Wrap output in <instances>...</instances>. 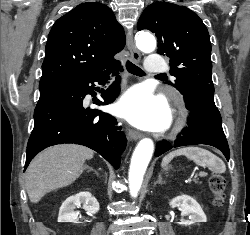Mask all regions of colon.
I'll list each match as a JSON object with an SVG mask.
<instances>
[{
  "instance_id": "1",
  "label": "colon",
  "mask_w": 250,
  "mask_h": 235,
  "mask_svg": "<svg viewBox=\"0 0 250 235\" xmlns=\"http://www.w3.org/2000/svg\"><path fill=\"white\" fill-rule=\"evenodd\" d=\"M225 180L221 175L214 174L209 180L210 189L214 195L213 202L216 206L222 205L224 201Z\"/></svg>"
}]
</instances>
